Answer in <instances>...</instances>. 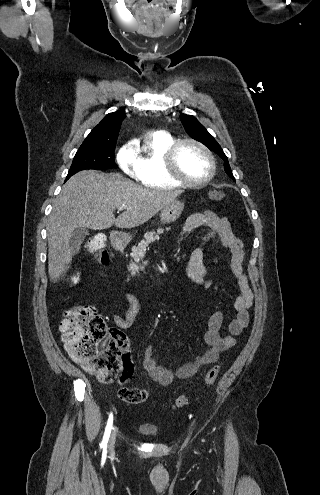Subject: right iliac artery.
I'll list each match as a JSON object with an SVG mask.
<instances>
[{
	"instance_id": "obj_1",
	"label": "right iliac artery",
	"mask_w": 320,
	"mask_h": 495,
	"mask_svg": "<svg viewBox=\"0 0 320 495\" xmlns=\"http://www.w3.org/2000/svg\"><path fill=\"white\" fill-rule=\"evenodd\" d=\"M112 425H113V415L111 413L110 416H109V418H108V421H107V425H106V429H105V432H104L103 440H102V442L100 444V447L104 451H106V449H107V443H108L109 436H110V433H111Z\"/></svg>"
}]
</instances>
